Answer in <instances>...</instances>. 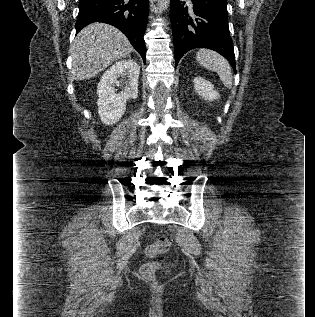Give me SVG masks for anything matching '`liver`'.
Here are the masks:
<instances>
[{
    "label": "liver",
    "mask_w": 315,
    "mask_h": 317,
    "mask_svg": "<svg viewBox=\"0 0 315 317\" xmlns=\"http://www.w3.org/2000/svg\"><path fill=\"white\" fill-rule=\"evenodd\" d=\"M132 51V45L118 29L104 23H93L77 35L70 48L73 78L84 80L95 77Z\"/></svg>",
    "instance_id": "1"
}]
</instances>
